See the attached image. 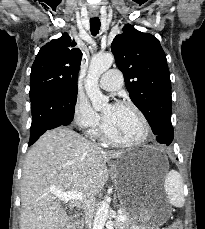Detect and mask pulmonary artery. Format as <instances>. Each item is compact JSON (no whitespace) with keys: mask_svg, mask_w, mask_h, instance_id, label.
Instances as JSON below:
<instances>
[{"mask_svg":"<svg viewBox=\"0 0 205 229\" xmlns=\"http://www.w3.org/2000/svg\"><path fill=\"white\" fill-rule=\"evenodd\" d=\"M100 86L108 91H114L122 85V73L118 69H110L102 75L99 81Z\"/></svg>","mask_w":205,"mask_h":229,"instance_id":"1","label":"pulmonary artery"}]
</instances>
